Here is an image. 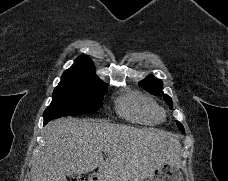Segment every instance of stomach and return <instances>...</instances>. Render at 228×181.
<instances>
[{
	"instance_id": "0dacf381",
	"label": "stomach",
	"mask_w": 228,
	"mask_h": 181,
	"mask_svg": "<svg viewBox=\"0 0 228 181\" xmlns=\"http://www.w3.org/2000/svg\"><path fill=\"white\" fill-rule=\"evenodd\" d=\"M143 181H184L183 175L178 167L173 165H162L156 169L154 177H148Z\"/></svg>"
}]
</instances>
